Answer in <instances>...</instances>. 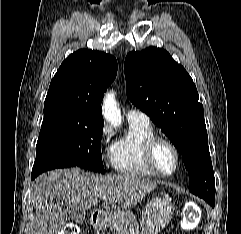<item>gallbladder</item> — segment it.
<instances>
[{"label":"gallbladder","instance_id":"gallbladder-1","mask_svg":"<svg viewBox=\"0 0 241 234\" xmlns=\"http://www.w3.org/2000/svg\"><path fill=\"white\" fill-rule=\"evenodd\" d=\"M73 217H74L75 221L82 222L85 218V211L84 210H76Z\"/></svg>","mask_w":241,"mask_h":234}]
</instances>
